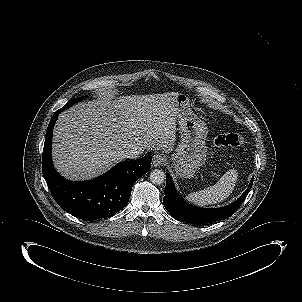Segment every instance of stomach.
I'll use <instances>...</instances> for the list:
<instances>
[{
	"instance_id": "obj_1",
	"label": "stomach",
	"mask_w": 302,
	"mask_h": 302,
	"mask_svg": "<svg viewBox=\"0 0 302 302\" xmlns=\"http://www.w3.org/2000/svg\"><path fill=\"white\" fill-rule=\"evenodd\" d=\"M181 141L171 157L176 176L181 178L194 177L197 169L206 161L205 139L208 129L204 121L198 118L189 108V98L178 94L176 98Z\"/></svg>"
}]
</instances>
